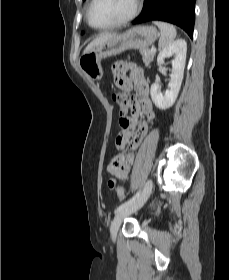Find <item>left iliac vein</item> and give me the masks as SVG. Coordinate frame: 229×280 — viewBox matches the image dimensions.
Here are the masks:
<instances>
[{
  "instance_id": "1",
  "label": "left iliac vein",
  "mask_w": 229,
  "mask_h": 280,
  "mask_svg": "<svg viewBox=\"0 0 229 280\" xmlns=\"http://www.w3.org/2000/svg\"><path fill=\"white\" fill-rule=\"evenodd\" d=\"M152 185H153L152 180L149 179L146 182L142 193L135 200V202H133L131 205H129L128 207L124 208L123 210L119 211L116 214V216L114 217V219L111 223V228H110L111 236L113 239L116 238L117 232H118L124 218L127 217L128 215L134 213L135 211L139 210L140 208H142L143 205L146 203V201L148 200V198L151 194Z\"/></svg>"
}]
</instances>
